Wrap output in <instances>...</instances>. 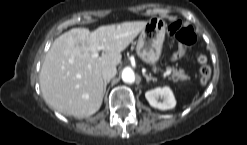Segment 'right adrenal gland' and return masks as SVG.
<instances>
[{
    "mask_svg": "<svg viewBox=\"0 0 247 145\" xmlns=\"http://www.w3.org/2000/svg\"><path fill=\"white\" fill-rule=\"evenodd\" d=\"M110 81H105L104 82V94L106 93V88H107V84H109Z\"/></svg>",
    "mask_w": 247,
    "mask_h": 145,
    "instance_id": "1",
    "label": "right adrenal gland"
}]
</instances>
